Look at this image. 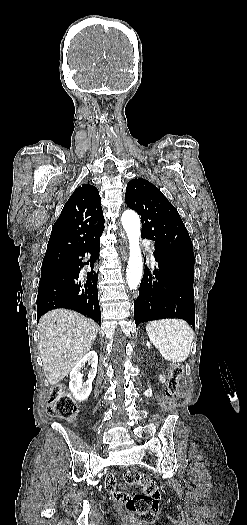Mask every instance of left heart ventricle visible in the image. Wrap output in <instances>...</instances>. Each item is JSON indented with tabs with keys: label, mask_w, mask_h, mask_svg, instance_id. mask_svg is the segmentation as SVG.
Listing matches in <instances>:
<instances>
[{
	"label": "left heart ventricle",
	"mask_w": 247,
	"mask_h": 525,
	"mask_svg": "<svg viewBox=\"0 0 247 525\" xmlns=\"http://www.w3.org/2000/svg\"><path fill=\"white\" fill-rule=\"evenodd\" d=\"M138 265H139V264H131V267H132L133 269H137V268H138Z\"/></svg>",
	"instance_id": "1"
}]
</instances>
